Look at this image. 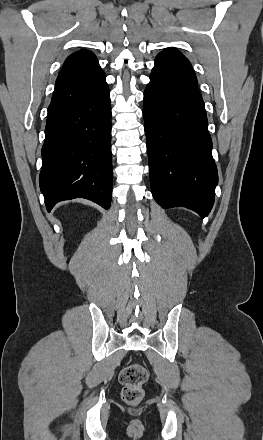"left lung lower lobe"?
Here are the masks:
<instances>
[{
    "mask_svg": "<svg viewBox=\"0 0 263 440\" xmlns=\"http://www.w3.org/2000/svg\"><path fill=\"white\" fill-rule=\"evenodd\" d=\"M152 194L163 208L184 206L209 214L218 173L197 78L174 48L159 53L144 92Z\"/></svg>",
    "mask_w": 263,
    "mask_h": 440,
    "instance_id": "obj_1",
    "label": "left lung lower lobe"
}]
</instances>
